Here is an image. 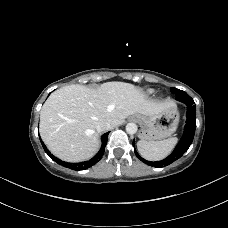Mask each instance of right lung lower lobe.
Returning a JSON list of instances; mask_svg holds the SVG:
<instances>
[{"mask_svg": "<svg viewBox=\"0 0 228 228\" xmlns=\"http://www.w3.org/2000/svg\"><path fill=\"white\" fill-rule=\"evenodd\" d=\"M102 140V146L99 150V152L90 160L85 161V162H81V163H67L64 161H61L60 159H58L57 157L53 156L50 151L46 148V146L44 145V143L41 141L42 146L45 150V152L49 155V157L54 160L55 162H57L58 164L71 168L73 170H84L87 169L91 166H93L94 164H96L103 156L104 151H105V146L107 144V140H108V133H105L102 135L101 137Z\"/></svg>", "mask_w": 228, "mask_h": 228, "instance_id": "right-lung-lower-lobe-1", "label": "right lung lower lobe"}]
</instances>
